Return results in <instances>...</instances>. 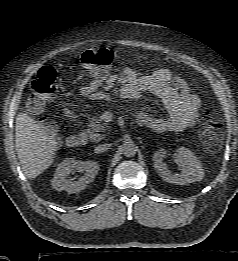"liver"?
<instances>
[{"mask_svg":"<svg viewBox=\"0 0 238 261\" xmlns=\"http://www.w3.org/2000/svg\"><path fill=\"white\" fill-rule=\"evenodd\" d=\"M15 148L25 175L34 179L54 162L57 141L28 114L18 113Z\"/></svg>","mask_w":238,"mask_h":261,"instance_id":"6515ba94","label":"liver"}]
</instances>
